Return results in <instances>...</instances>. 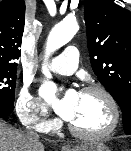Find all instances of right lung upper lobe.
<instances>
[{"label":"right lung upper lobe","mask_w":131,"mask_h":151,"mask_svg":"<svg viewBox=\"0 0 131 151\" xmlns=\"http://www.w3.org/2000/svg\"><path fill=\"white\" fill-rule=\"evenodd\" d=\"M25 24V2L3 0L0 2V67H17L13 61L21 55Z\"/></svg>","instance_id":"right-lung-upper-lobe-1"}]
</instances>
